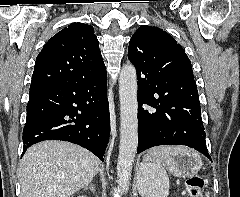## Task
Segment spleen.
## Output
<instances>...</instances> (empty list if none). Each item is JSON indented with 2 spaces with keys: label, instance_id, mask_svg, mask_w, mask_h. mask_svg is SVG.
<instances>
[{
  "label": "spleen",
  "instance_id": "obj_1",
  "mask_svg": "<svg viewBox=\"0 0 240 197\" xmlns=\"http://www.w3.org/2000/svg\"><path fill=\"white\" fill-rule=\"evenodd\" d=\"M188 151L178 146H158L149 150L153 160L140 167L143 182L140 192L143 197H168L169 178L165 163L170 162L174 154Z\"/></svg>",
  "mask_w": 240,
  "mask_h": 197
}]
</instances>
